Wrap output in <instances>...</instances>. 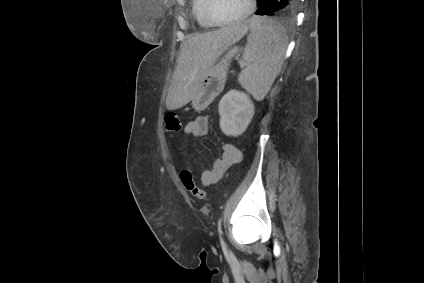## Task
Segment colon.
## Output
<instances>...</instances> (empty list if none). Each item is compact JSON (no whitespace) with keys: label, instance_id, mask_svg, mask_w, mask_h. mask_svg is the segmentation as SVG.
<instances>
[{"label":"colon","instance_id":"obj_1","mask_svg":"<svg viewBox=\"0 0 424 283\" xmlns=\"http://www.w3.org/2000/svg\"><path fill=\"white\" fill-rule=\"evenodd\" d=\"M165 130L169 134H177L180 132L182 123L179 116L176 113L169 112L165 114L164 117ZM180 178L185 188L197 199L207 200L208 195L206 191L199 188L194 181L193 175L188 170H182L180 173Z\"/></svg>","mask_w":424,"mask_h":283}]
</instances>
